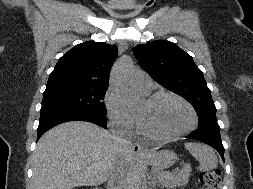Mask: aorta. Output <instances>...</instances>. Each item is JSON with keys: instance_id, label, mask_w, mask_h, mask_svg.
I'll list each match as a JSON object with an SVG mask.
<instances>
[{"instance_id": "obj_1", "label": "aorta", "mask_w": 253, "mask_h": 189, "mask_svg": "<svg viewBox=\"0 0 253 189\" xmlns=\"http://www.w3.org/2000/svg\"><path fill=\"white\" fill-rule=\"evenodd\" d=\"M132 72L133 64L129 59L120 61L112 71L113 86L130 108L137 107L142 102L141 95L132 86ZM132 189H146V179L141 170H137L134 175Z\"/></svg>"}]
</instances>
